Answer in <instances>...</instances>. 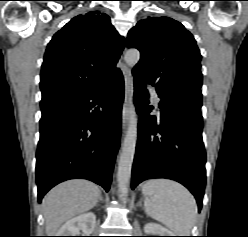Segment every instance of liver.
Returning <instances> with one entry per match:
<instances>
[{
    "label": "liver",
    "mask_w": 248,
    "mask_h": 237,
    "mask_svg": "<svg viewBox=\"0 0 248 237\" xmlns=\"http://www.w3.org/2000/svg\"><path fill=\"white\" fill-rule=\"evenodd\" d=\"M100 194L87 180H70L54 187L42 201L46 234L54 236L64 222L92 209Z\"/></svg>",
    "instance_id": "1"
}]
</instances>
